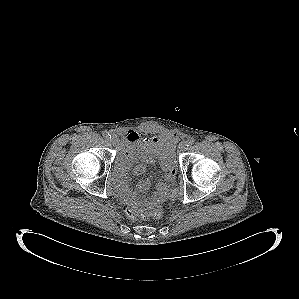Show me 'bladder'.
<instances>
[{"label": "bladder", "mask_w": 299, "mask_h": 299, "mask_svg": "<svg viewBox=\"0 0 299 299\" xmlns=\"http://www.w3.org/2000/svg\"><path fill=\"white\" fill-rule=\"evenodd\" d=\"M173 146H174V145L172 144V146L164 148V149H163V152H164V153H168V154H170V155H172V156L174 157V149H173ZM116 167H117V164L115 163V165H114V169H116Z\"/></svg>", "instance_id": "1"}]
</instances>
